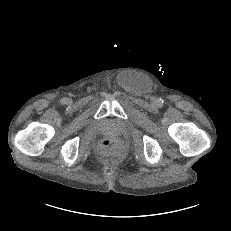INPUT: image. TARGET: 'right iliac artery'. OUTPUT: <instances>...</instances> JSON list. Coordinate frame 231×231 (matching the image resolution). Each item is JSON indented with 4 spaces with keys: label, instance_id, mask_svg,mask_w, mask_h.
<instances>
[{
    "label": "right iliac artery",
    "instance_id": "obj_1",
    "mask_svg": "<svg viewBox=\"0 0 231 231\" xmlns=\"http://www.w3.org/2000/svg\"><path fill=\"white\" fill-rule=\"evenodd\" d=\"M64 101H65V99L63 98V99H62V102H64Z\"/></svg>",
    "mask_w": 231,
    "mask_h": 231
}]
</instances>
